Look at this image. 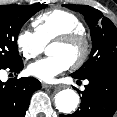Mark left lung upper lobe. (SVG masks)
Segmentation results:
<instances>
[{
	"instance_id": "left-lung-upper-lobe-1",
	"label": "left lung upper lobe",
	"mask_w": 117,
	"mask_h": 117,
	"mask_svg": "<svg viewBox=\"0 0 117 117\" xmlns=\"http://www.w3.org/2000/svg\"><path fill=\"white\" fill-rule=\"evenodd\" d=\"M63 6L84 15L92 37L90 58L72 75L84 79L107 65L117 63V28L114 24L93 7L72 4Z\"/></svg>"
}]
</instances>
